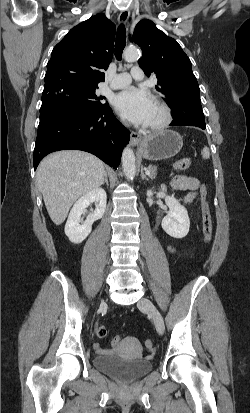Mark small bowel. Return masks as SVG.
Here are the masks:
<instances>
[{
	"instance_id": "small-bowel-1",
	"label": "small bowel",
	"mask_w": 250,
	"mask_h": 413,
	"mask_svg": "<svg viewBox=\"0 0 250 413\" xmlns=\"http://www.w3.org/2000/svg\"><path fill=\"white\" fill-rule=\"evenodd\" d=\"M169 187L175 191H186L187 194L185 195L183 201L185 204H190L197 196V190L199 188V181L196 178L189 177L184 174H179L173 177V179L169 183ZM167 250L170 253H175L176 249L172 246H168ZM121 341V340H120ZM97 351L100 353H109L111 350L103 349L101 347H97Z\"/></svg>"
}]
</instances>
